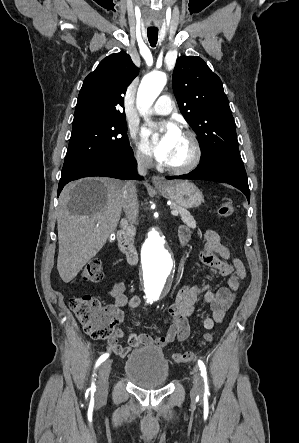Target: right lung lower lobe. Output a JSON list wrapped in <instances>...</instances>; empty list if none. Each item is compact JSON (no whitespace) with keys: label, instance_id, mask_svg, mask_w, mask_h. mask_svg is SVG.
<instances>
[{"label":"right lung lower lobe","instance_id":"right-lung-lower-lobe-1","mask_svg":"<svg viewBox=\"0 0 299 443\" xmlns=\"http://www.w3.org/2000/svg\"><path fill=\"white\" fill-rule=\"evenodd\" d=\"M136 160L133 156L132 149L118 157L103 158L92 163H89L81 168L71 172L65 177H61L58 187V194L63 187L70 181L90 176H105L118 179H138L143 177L137 175Z\"/></svg>","mask_w":299,"mask_h":443}]
</instances>
